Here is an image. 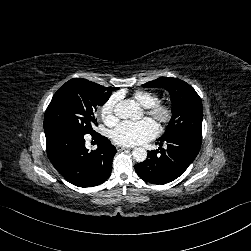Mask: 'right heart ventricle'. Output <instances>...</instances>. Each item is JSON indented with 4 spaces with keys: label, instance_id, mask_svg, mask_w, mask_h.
Returning a JSON list of instances; mask_svg holds the SVG:
<instances>
[{
    "label": "right heart ventricle",
    "instance_id": "e07e8e85",
    "mask_svg": "<svg viewBox=\"0 0 251 251\" xmlns=\"http://www.w3.org/2000/svg\"><path fill=\"white\" fill-rule=\"evenodd\" d=\"M132 99L141 107L149 108L159 102V96L151 91L137 90L132 94Z\"/></svg>",
    "mask_w": 251,
    "mask_h": 251
}]
</instances>
